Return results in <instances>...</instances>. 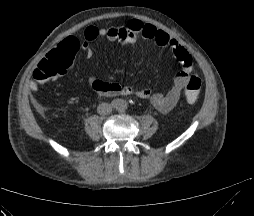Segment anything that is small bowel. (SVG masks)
Here are the masks:
<instances>
[{
    "mask_svg": "<svg viewBox=\"0 0 254 216\" xmlns=\"http://www.w3.org/2000/svg\"><path fill=\"white\" fill-rule=\"evenodd\" d=\"M139 37L146 40L155 41L158 45L170 49L175 58L181 64V70L177 72L172 83L162 92L152 93L147 89H138L131 85L110 83L99 80L92 82V88L104 96L116 95H137L150 100L152 105L160 112L166 113L172 110L178 103L181 92L192 71V59L184 47H182L173 37L157 29L156 27L144 24L138 20H132L126 26H110L99 28L88 26L84 31L86 41H94L98 38H106L110 41H118L123 45H133ZM66 49L71 54L79 49L83 50L88 56L91 54L87 42L80 43L77 38L70 36L62 40L55 49ZM41 84L34 79L30 86L33 90Z\"/></svg>",
    "mask_w": 254,
    "mask_h": 216,
    "instance_id": "small-bowel-1",
    "label": "small bowel"
}]
</instances>
